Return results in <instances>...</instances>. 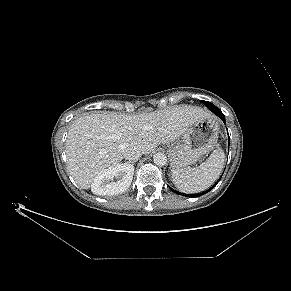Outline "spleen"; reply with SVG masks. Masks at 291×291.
Masks as SVG:
<instances>
[{"label":"spleen","instance_id":"1","mask_svg":"<svg viewBox=\"0 0 291 291\" xmlns=\"http://www.w3.org/2000/svg\"><path fill=\"white\" fill-rule=\"evenodd\" d=\"M224 160V151L214 150L208 159L196 168L172 170L173 183L183 193L202 192L219 178L224 167Z\"/></svg>","mask_w":291,"mask_h":291}]
</instances>
